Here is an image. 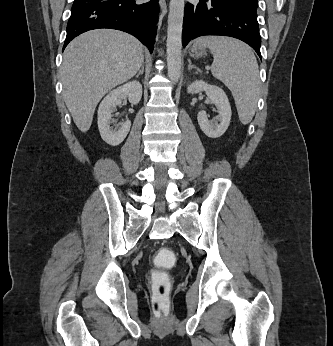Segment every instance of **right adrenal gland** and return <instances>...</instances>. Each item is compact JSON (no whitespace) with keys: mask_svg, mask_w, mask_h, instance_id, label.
<instances>
[{"mask_svg":"<svg viewBox=\"0 0 333 346\" xmlns=\"http://www.w3.org/2000/svg\"><path fill=\"white\" fill-rule=\"evenodd\" d=\"M143 73H144V63L142 64L141 69L137 73L136 77H139V75H142Z\"/></svg>","mask_w":333,"mask_h":346,"instance_id":"2a0ac1e0","label":"right adrenal gland"}]
</instances>
